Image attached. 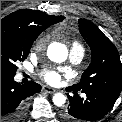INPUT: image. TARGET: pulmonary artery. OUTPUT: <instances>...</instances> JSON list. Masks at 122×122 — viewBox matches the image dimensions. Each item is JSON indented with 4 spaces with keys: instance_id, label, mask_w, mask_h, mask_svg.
Wrapping results in <instances>:
<instances>
[{
    "instance_id": "obj_1",
    "label": "pulmonary artery",
    "mask_w": 122,
    "mask_h": 122,
    "mask_svg": "<svg viewBox=\"0 0 122 122\" xmlns=\"http://www.w3.org/2000/svg\"><path fill=\"white\" fill-rule=\"evenodd\" d=\"M84 56V50L81 46L73 45V47L70 50L69 59L72 64H78L81 62ZM82 97H85L83 94Z\"/></svg>"
}]
</instances>
